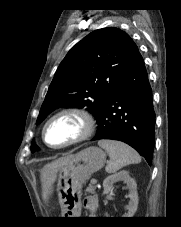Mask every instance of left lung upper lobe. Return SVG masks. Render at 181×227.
Returning <instances> with one entry per match:
<instances>
[{
    "label": "left lung upper lobe",
    "instance_id": "1",
    "mask_svg": "<svg viewBox=\"0 0 181 227\" xmlns=\"http://www.w3.org/2000/svg\"><path fill=\"white\" fill-rule=\"evenodd\" d=\"M138 52L129 35L118 28H103L87 35L57 68L36 124L58 107H87L98 121ZM37 149L33 140L31 151Z\"/></svg>",
    "mask_w": 181,
    "mask_h": 227
}]
</instances>
